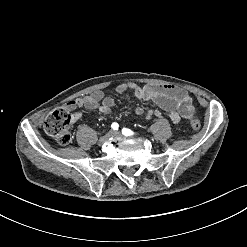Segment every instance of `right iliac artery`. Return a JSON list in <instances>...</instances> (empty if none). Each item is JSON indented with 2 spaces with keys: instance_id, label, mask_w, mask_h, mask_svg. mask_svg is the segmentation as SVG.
<instances>
[{
  "instance_id": "right-iliac-artery-1",
  "label": "right iliac artery",
  "mask_w": 247,
  "mask_h": 247,
  "mask_svg": "<svg viewBox=\"0 0 247 247\" xmlns=\"http://www.w3.org/2000/svg\"><path fill=\"white\" fill-rule=\"evenodd\" d=\"M111 128H112L113 130H118V128H119L118 123H115V122L112 123Z\"/></svg>"
}]
</instances>
